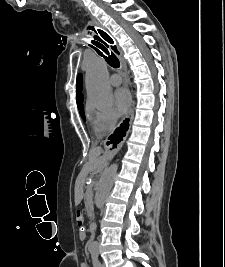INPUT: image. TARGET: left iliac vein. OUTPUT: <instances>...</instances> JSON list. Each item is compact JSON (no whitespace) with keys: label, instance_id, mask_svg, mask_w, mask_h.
Returning a JSON list of instances; mask_svg holds the SVG:
<instances>
[{"label":"left iliac vein","instance_id":"1","mask_svg":"<svg viewBox=\"0 0 225 267\" xmlns=\"http://www.w3.org/2000/svg\"><path fill=\"white\" fill-rule=\"evenodd\" d=\"M101 267H106L105 264H101Z\"/></svg>","mask_w":225,"mask_h":267}]
</instances>
